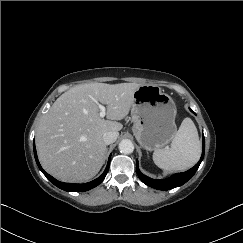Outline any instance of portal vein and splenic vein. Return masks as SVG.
<instances>
[{
    "label": "portal vein and splenic vein",
    "instance_id": "18ae733b",
    "mask_svg": "<svg viewBox=\"0 0 243 243\" xmlns=\"http://www.w3.org/2000/svg\"><path fill=\"white\" fill-rule=\"evenodd\" d=\"M98 107H99V109H100L99 116H100L101 118L105 117V115H106V108H105V106L99 104Z\"/></svg>",
    "mask_w": 243,
    "mask_h": 243
}]
</instances>
